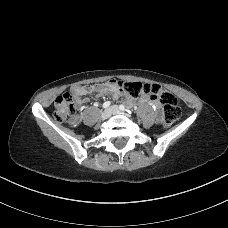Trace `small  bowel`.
Returning <instances> with one entry per match:
<instances>
[{"label":"small bowel","instance_id":"small-bowel-1","mask_svg":"<svg viewBox=\"0 0 228 228\" xmlns=\"http://www.w3.org/2000/svg\"><path fill=\"white\" fill-rule=\"evenodd\" d=\"M70 92L73 95L75 104L77 106L82 105L86 101L85 99L82 98V96L87 95L89 93H95L99 96L110 95L114 99H119L123 96H126L124 91L118 87L116 80H110L105 83L94 84V85H76L71 87ZM127 101L130 104H133L136 102L130 97L127 98ZM150 104L156 109L160 108V104L157 101L150 100ZM78 121L79 120L76 117L72 120V123L76 124L78 123Z\"/></svg>","mask_w":228,"mask_h":228}]
</instances>
